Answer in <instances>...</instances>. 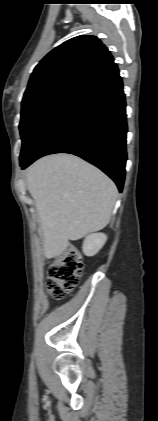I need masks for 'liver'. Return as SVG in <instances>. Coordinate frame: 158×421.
<instances>
[{
  "label": "liver",
  "instance_id": "1",
  "mask_svg": "<svg viewBox=\"0 0 158 421\" xmlns=\"http://www.w3.org/2000/svg\"><path fill=\"white\" fill-rule=\"evenodd\" d=\"M26 184L40 218L47 258L61 255L69 240L104 228L118 193L103 172L68 154L37 160L26 172Z\"/></svg>",
  "mask_w": 158,
  "mask_h": 421
}]
</instances>
